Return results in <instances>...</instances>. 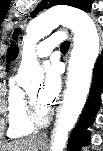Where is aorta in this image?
<instances>
[{
	"mask_svg": "<svg viewBox=\"0 0 103 151\" xmlns=\"http://www.w3.org/2000/svg\"><path fill=\"white\" fill-rule=\"evenodd\" d=\"M59 25L74 33V46L69 61V74L60 110L52 151H63L68 132L82 112L91 84L94 64L99 53V36L89 15L70 7H53L31 20L27 26L18 77H26L41 68L36 57V44Z\"/></svg>",
	"mask_w": 103,
	"mask_h": 151,
	"instance_id": "obj_1",
	"label": "aorta"
}]
</instances>
